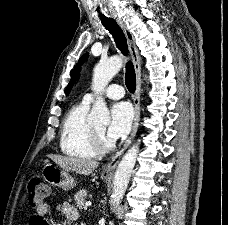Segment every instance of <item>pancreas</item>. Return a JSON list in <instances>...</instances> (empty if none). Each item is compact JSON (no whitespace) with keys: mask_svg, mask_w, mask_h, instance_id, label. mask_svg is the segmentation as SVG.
<instances>
[{"mask_svg":"<svg viewBox=\"0 0 228 225\" xmlns=\"http://www.w3.org/2000/svg\"><path fill=\"white\" fill-rule=\"evenodd\" d=\"M86 197L87 191H85V189H83V191H78V193L74 195L75 205H77L79 209H83Z\"/></svg>","mask_w":228,"mask_h":225,"instance_id":"pancreas-1","label":"pancreas"}]
</instances>
